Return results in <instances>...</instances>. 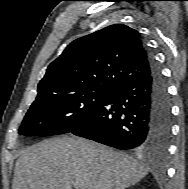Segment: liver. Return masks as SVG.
Instances as JSON below:
<instances>
[{"label":"liver","instance_id":"1","mask_svg":"<svg viewBox=\"0 0 188 189\" xmlns=\"http://www.w3.org/2000/svg\"><path fill=\"white\" fill-rule=\"evenodd\" d=\"M147 169L132 157L96 142L64 136L22 151L12 189H125Z\"/></svg>","mask_w":188,"mask_h":189}]
</instances>
